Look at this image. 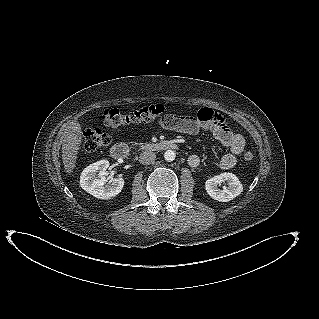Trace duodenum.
I'll use <instances>...</instances> for the list:
<instances>
[{"label":"duodenum","mask_w":319,"mask_h":319,"mask_svg":"<svg viewBox=\"0 0 319 319\" xmlns=\"http://www.w3.org/2000/svg\"><path fill=\"white\" fill-rule=\"evenodd\" d=\"M145 151H164L177 149V145L170 141L150 142L143 146ZM129 152V147L125 143H117L112 146L110 154L115 160L124 159Z\"/></svg>","instance_id":"duodenum-1"}]
</instances>
